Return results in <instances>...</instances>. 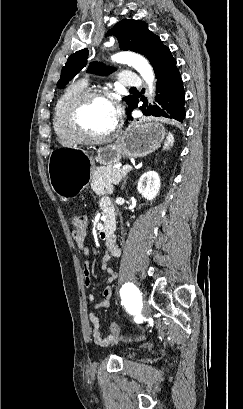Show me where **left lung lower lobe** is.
<instances>
[{"label":"left lung lower lobe","mask_w":243,"mask_h":409,"mask_svg":"<svg viewBox=\"0 0 243 409\" xmlns=\"http://www.w3.org/2000/svg\"><path fill=\"white\" fill-rule=\"evenodd\" d=\"M157 77L156 82V105L147 106L145 102L141 107V111L147 116L164 117L175 119L183 122L185 119V92L183 82L176 67V60L161 68L155 73ZM139 100L136 98L129 108L128 119L132 120L130 116L131 111L137 107Z\"/></svg>","instance_id":"obj_1"}]
</instances>
